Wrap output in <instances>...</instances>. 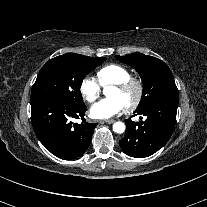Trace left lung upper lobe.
<instances>
[{
    "instance_id": "obj_1",
    "label": "left lung upper lobe",
    "mask_w": 207,
    "mask_h": 207,
    "mask_svg": "<svg viewBox=\"0 0 207 207\" xmlns=\"http://www.w3.org/2000/svg\"><path fill=\"white\" fill-rule=\"evenodd\" d=\"M116 59L132 66L143 81V95L136 111H142L160 101H178L174 77L162 60L139 52L116 56Z\"/></svg>"
}]
</instances>
